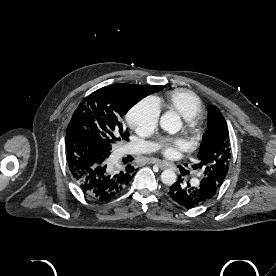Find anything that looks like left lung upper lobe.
Returning a JSON list of instances; mask_svg holds the SVG:
<instances>
[{
    "instance_id": "obj_1",
    "label": "left lung upper lobe",
    "mask_w": 276,
    "mask_h": 276,
    "mask_svg": "<svg viewBox=\"0 0 276 276\" xmlns=\"http://www.w3.org/2000/svg\"><path fill=\"white\" fill-rule=\"evenodd\" d=\"M202 149L197 157V165L203 178H210L218 189L224 182L230 162V140L226 121L216 106H209L208 131L203 135Z\"/></svg>"
}]
</instances>
